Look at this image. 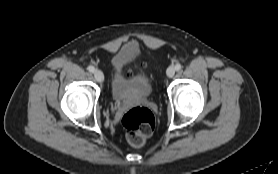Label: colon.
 Segmentation results:
<instances>
[{
  "instance_id": "5ec220e1",
  "label": "colon",
  "mask_w": 278,
  "mask_h": 174,
  "mask_svg": "<svg viewBox=\"0 0 278 174\" xmlns=\"http://www.w3.org/2000/svg\"><path fill=\"white\" fill-rule=\"evenodd\" d=\"M122 125L127 132L129 143L139 147L152 134L155 119L148 108L137 106L126 112L122 118Z\"/></svg>"
}]
</instances>
